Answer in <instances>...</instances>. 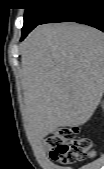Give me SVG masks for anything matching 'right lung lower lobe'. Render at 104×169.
<instances>
[{
  "label": "right lung lower lobe",
  "mask_w": 104,
  "mask_h": 169,
  "mask_svg": "<svg viewBox=\"0 0 104 169\" xmlns=\"http://www.w3.org/2000/svg\"><path fill=\"white\" fill-rule=\"evenodd\" d=\"M55 2L57 6L41 24L77 22L104 31V0H55Z\"/></svg>",
  "instance_id": "obj_1"
}]
</instances>
